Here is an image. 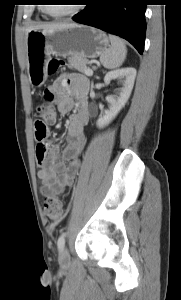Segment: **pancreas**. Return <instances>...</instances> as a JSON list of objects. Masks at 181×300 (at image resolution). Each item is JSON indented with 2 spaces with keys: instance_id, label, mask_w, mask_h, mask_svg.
I'll return each instance as SVG.
<instances>
[{
  "instance_id": "cf45deb5",
  "label": "pancreas",
  "mask_w": 181,
  "mask_h": 300,
  "mask_svg": "<svg viewBox=\"0 0 181 300\" xmlns=\"http://www.w3.org/2000/svg\"><path fill=\"white\" fill-rule=\"evenodd\" d=\"M69 63L73 68H75L76 70L82 73H85L86 70L88 69L87 68L88 61L77 56L70 57Z\"/></svg>"
}]
</instances>
